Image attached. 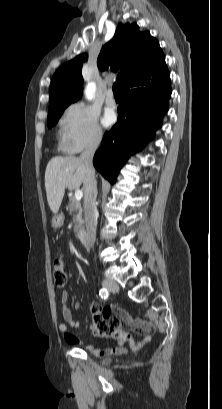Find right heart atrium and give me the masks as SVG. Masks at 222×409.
<instances>
[{"mask_svg": "<svg viewBox=\"0 0 222 409\" xmlns=\"http://www.w3.org/2000/svg\"><path fill=\"white\" fill-rule=\"evenodd\" d=\"M60 136L63 149L70 153L98 146L103 130L97 113L83 103L70 105L60 120Z\"/></svg>", "mask_w": 222, "mask_h": 409, "instance_id": "right-heart-atrium-1", "label": "right heart atrium"}]
</instances>
